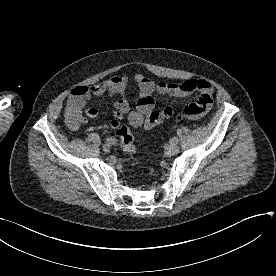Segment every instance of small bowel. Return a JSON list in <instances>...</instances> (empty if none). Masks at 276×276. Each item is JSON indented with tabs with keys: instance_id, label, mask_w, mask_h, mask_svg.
Listing matches in <instances>:
<instances>
[{
	"instance_id": "c3829d8e",
	"label": "small bowel",
	"mask_w": 276,
	"mask_h": 276,
	"mask_svg": "<svg viewBox=\"0 0 276 276\" xmlns=\"http://www.w3.org/2000/svg\"><path fill=\"white\" fill-rule=\"evenodd\" d=\"M139 89V96L136 100L137 112L144 118L150 113L157 115L156 124L173 115L171 108L161 110L155 109V100L152 96L153 92L162 95H170L174 97H185L192 93H197L196 101L187 105L185 109L194 107L198 112L187 114L186 117L197 119L203 116L212 106V95L214 92L213 85L204 79L191 78L181 83L158 82L155 83L151 79L142 74L134 76ZM128 77L126 75L113 76L105 81L91 86H78L74 88L69 95L66 103L67 121L71 128L77 129L81 124L86 122V118H95L98 116V110L95 107H87V101L93 97L106 98L118 96L112 113L110 125L118 128L121 124L123 116L130 110V101L127 95ZM150 127V126H148Z\"/></svg>"
}]
</instances>
